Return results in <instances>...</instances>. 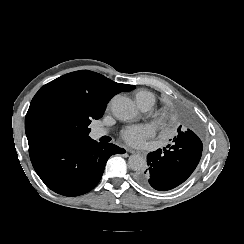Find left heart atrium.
Listing matches in <instances>:
<instances>
[{
    "label": "left heart atrium",
    "mask_w": 244,
    "mask_h": 244,
    "mask_svg": "<svg viewBox=\"0 0 244 244\" xmlns=\"http://www.w3.org/2000/svg\"><path fill=\"white\" fill-rule=\"evenodd\" d=\"M153 132L148 127L135 126L122 133V139L129 145L140 146L151 138Z\"/></svg>",
    "instance_id": "39dd6f15"
}]
</instances>
